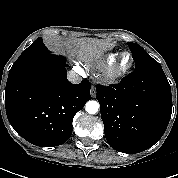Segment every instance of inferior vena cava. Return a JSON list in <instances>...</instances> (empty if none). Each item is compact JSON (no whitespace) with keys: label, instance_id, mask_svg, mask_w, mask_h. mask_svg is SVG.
<instances>
[{"label":"inferior vena cava","instance_id":"obj_1","mask_svg":"<svg viewBox=\"0 0 178 178\" xmlns=\"http://www.w3.org/2000/svg\"><path fill=\"white\" fill-rule=\"evenodd\" d=\"M67 77H68V80L74 84H78L82 81V78L79 75H77L75 72H72V71H70L68 73Z\"/></svg>","mask_w":178,"mask_h":178}]
</instances>
